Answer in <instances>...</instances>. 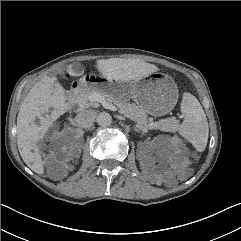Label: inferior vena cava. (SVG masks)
I'll use <instances>...</instances> for the list:
<instances>
[{
    "instance_id": "obj_1",
    "label": "inferior vena cava",
    "mask_w": 241,
    "mask_h": 241,
    "mask_svg": "<svg viewBox=\"0 0 241 241\" xmlns=\"http://www.w3.org/2000/svg\"><path fill=\"white\" fill-rule=\"evenodd\" d=\"M96 117L97 113L92 109L80 111L75 117V125L80 128H90Z\"/></svg>"
}]
</instances>
